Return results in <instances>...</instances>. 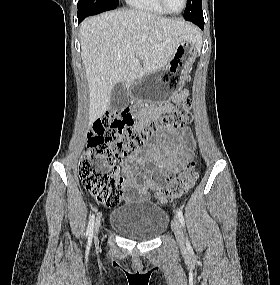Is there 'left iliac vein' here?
<instances>
[{"instance_id": "1", "label": "left iliac vein", "mask_w": 280, "mask_h": 285, "mask_svg": "<svg viewBox=\"0 0 280 285\" xmlns=\"http://www.w3.org/2000/svg\"><path fill=\"white\" fill-rule=\"evenodd\" d=\"M172 228H173L174 234L176 236L177 242L180 245H183V243H184V234H183V230H182L180 221L178 220L177 217H175L174 220H173Z\"/></svg>"}]
</instances>
